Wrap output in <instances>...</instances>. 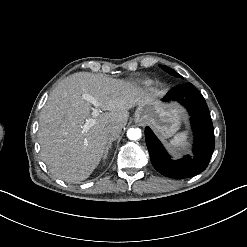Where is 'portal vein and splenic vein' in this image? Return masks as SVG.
Segmentation results:
<instances>
[{"label":"portal vein and splenic vein","mask_w":247,"mask_h":247,"mask_svg":"<svg viewBox=\"0 0 247 247\" xmlns=\"http://www.w3.org/2000/svg\"><path fill=\"white\" fill-rule=\"evenodd\" d=\"M82 98L94 106V108L92 109V113H91L93 118L86 119V122L83 126L84 129L87 130L90 127L94 126L96 123L95 118L97 116H99V114H100V110L98 108L100 106V103L97 99H95L93 96H91L90 94H87V93H83Z\"/></svg>","instance_id":"1"}]
</instances>
